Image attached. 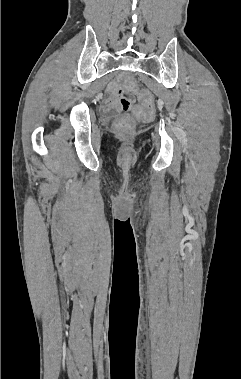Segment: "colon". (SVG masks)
<instances>
[{"label":"colon","mask_w":241,"mask_h":379,"mask_svg":"<svg viewBox=\"0 0 241 379\" xmlns=\"http://www.w3.org/2000/svg\"><path fill=\"white\" fill-rule=\"evenodd\" d=\"M116 100L119 104V106L123 110H130L132 107L135 111V114L139 118H147L151 115L153 111V104L150 101V98L148 96L141 97L139 99V104L135 103L132 106V100L131 98L124 92H117ZM117 129L122 133H129L134 128V120L131 117H126L116 124Z\"/></svg>","instance_id":"obj_1"}]
</instances>
